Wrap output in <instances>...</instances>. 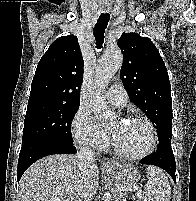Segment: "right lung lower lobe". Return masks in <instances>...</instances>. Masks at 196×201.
<instances>
[{
    "label": "right lung lower lobe",
    "mask_w": 196,
    "mask_h": 201,
    "mask_svg": "<svg viewBox=\"0 0 196 201\" xmlns=\"http://www.w3.org/2000/svg\"><path fill=\"white\" fill-rule=\"evenodd\" d=\"M73 143L60 140L37 138L22 144L19 154L17 179L20 180L24 171L38 159L51 154H75Z\"/></svg>",
    "instance_id": "98d812e1"
}]
</instances>
